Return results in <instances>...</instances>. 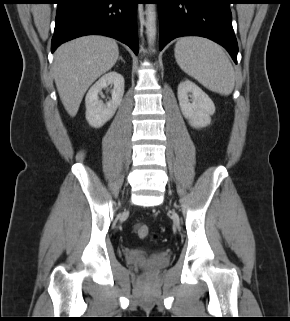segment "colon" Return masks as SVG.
Here are the masks:
<instances>
[{
  "label": "colon",
  "mask_w": 290,
  "mask_h": 321,
  "mask_svg": "<svg viewBox=\"0 0 290 321\" xmlns=\"http://www.w3.org/2000/svg\"><path fill=\"white\" fill-rule=\"evenodd\" d=\"M135 233L141 239H148V238L155 239V236L152 235L149 226L145 223L137 224L135 227Z\"/></svg>",
  "instance_id": "1"
}]
</instances>
